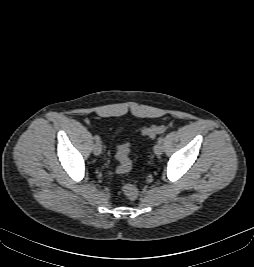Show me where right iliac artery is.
Instances as JSON below:
<instances>
[{
    "label": "right iliac artery",
    "instance_id": "82829eb1",
    "mask_svg": "<svg viewBox=\"0 0 254 267\" xmlns=\"http://www.w3.org/2000/svg\"><path fill=\"white\" fill-rule=\"evenodd\" d=\"M94 140H95L96 142H99V141H100V137H99L98 135H95V136H94Z\"/></svg>",
    "mask_w": 254,
    "mask_h": 267
}]
</instances>
